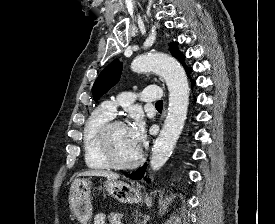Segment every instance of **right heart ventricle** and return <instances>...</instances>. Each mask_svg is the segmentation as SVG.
<instances>
[{"instance_id":"right-heart-ventricle-1","label":"right heart ventricle","mask_w":275,"mask_h":224,"mask_svg":"<svg viewBox=\"0 0 275 224\" xmlns=\"http://www.w3.org/2000/svg\"><path fill=\"white\" fill-rule=\"evenodd\" d=\"M111 118L112 116L100 107L91 113L84 125L83 153L85 163L90 169L102 170L110 167L99 151L97 134L101 126Z\"/></svg>"}]
</instances>
